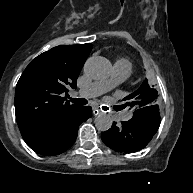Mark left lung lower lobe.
Instances as JSON below:
<instances>
[{
	"mask_svg": "<svg viewBox=\"0 0 193 193\" xmlns=\"http://www.w3.org/2000/svg\"><path fill=\"white\" fill-rule=\"evenodd\" d=\"M160 125L157 105L143 107L133 113L132 119L123 121L122 127L114 122L102 133V141L115 151L131 153L143 149L152 139Z\"/></svg>",
	"mask_w": 193,
	"mask_h": 193,
	"instance_id": "1",
	"label": "left lung lower lobe"
}]
</instances>
